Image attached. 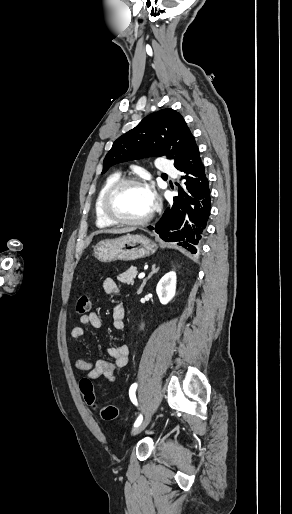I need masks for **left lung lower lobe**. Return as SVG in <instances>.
<instances>
[{
	"label": "left lung lower lobe",
	"mask_w": 292,
	"mask_h": 514,
	"mask_svg": "<svg viewBox=\"0 0 292 514\" xmlns=\"http://www.w3.org/2000/svg\"><path fill=\"white\" fill-rule=\"evenodd\" d=\"M185 180L179 186L178 196L168 207L159 222L148 229L154 230L168 242L180 241L179 245L195 254L202 241L211 210V191L205 167L201 161L195 140L190 144L185 159L176 167Z\"/></svg>",
	"instance_id": "obj_1"
}]
</instances>
